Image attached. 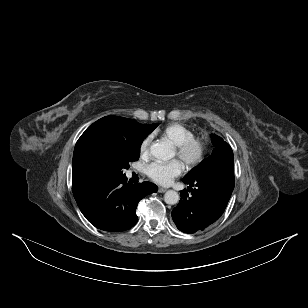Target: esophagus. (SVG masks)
<instances>
[{"label":"esophagus","mask_w":308,"mask_h":308,"mask_svg":"<svg viewBox=\"0 0 308 308\" xmlns=\"http://www.w3.org/2000/svg\"><path fill=\"white\" fill-rule=\"evenodd\" d=\"M166 191H167L166 188H163V187H159V188H158V192H159V193H164V192H166Z\"/></svg>","instance_id":"1"}]
</instances>
